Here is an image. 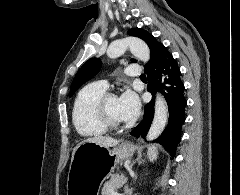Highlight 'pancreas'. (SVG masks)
<instances>
[{"mask_svg":"<svg viewBox=\"0 0 240 195\" xmlns=\"http://www.w3.org/2000/svg\"><path fill=\"white\" fill-rule=\"evenodd\" d=\"M126 181L127 177H125V175H113L109 181L104 183L101 189V195H112V191H117Z\"/></svg>","mask_w":240,"mask_h":195,"instance_id":"pancreas-1","label":"pancreas"}]
</instances>
